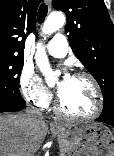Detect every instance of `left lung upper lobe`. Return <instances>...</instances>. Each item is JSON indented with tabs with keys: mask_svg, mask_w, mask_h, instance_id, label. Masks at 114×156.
I'll return each instance as SVG.
<instances>
[{
	"mask_svg": "<svg viewBox=\"0 0 114 156\" xmlns=\"http://www.w3.org/2000/svg\"><path fill=\"white\" fill-rule=\"evenodd\" d=\"M67 16L70 47L103 93L101 115L114 116V25L103 0H53Z\"/></svg>",
	"mask_w": 114,
	"mask_h": 156,
	"instance_id": "left-lung-upper-lobe-1",
	"label": "left lung upper lobe"
}]
</instances>
